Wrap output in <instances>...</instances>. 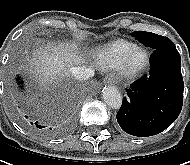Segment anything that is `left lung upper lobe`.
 Returning <instances> with one entry per match:
<instances>
[{"instance_id": "5c2ea615", "label": "left lung upper lobe", "mask_w": 190, "mask_h": 165, "mask_svg": "<svg viewBox=\"0 0 190 165\" xmlns=\"http://www.w3.org/2000/svg\"><path fill=\"white\" fill-rule=\"evenodd\" d=\"M131 35L143 43L146 47H151L156 49L159 46H162L171 40L167 37L160 36L151 32L136 31L132 32Z\"/></svg>"}]
</instances>
